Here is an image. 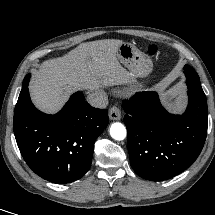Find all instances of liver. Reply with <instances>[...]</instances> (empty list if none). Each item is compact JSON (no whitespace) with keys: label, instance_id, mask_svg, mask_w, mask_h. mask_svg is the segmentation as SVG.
<instances>
[{"label":"liver","instance_id":"6515ba94","mask_svg":"<svg viewBox=\"0 0 215 215\" xmlns=\"http://www.w3.org/2000/svg\"><path fill=\"white\" fill-rule=\"evenodd\" d=\"M122 43L115 39L86 42L63 57L44 61L30 85L35 106L55 113L74 90L132 84L134 76L117 59Z\"/></svg>","mask_w":215,"mask_h":215}]
</instances>
